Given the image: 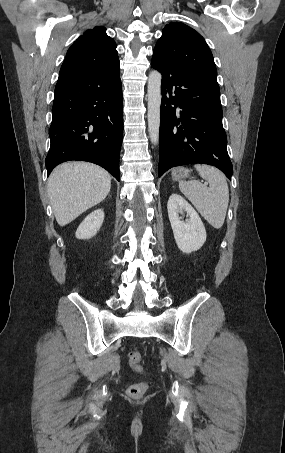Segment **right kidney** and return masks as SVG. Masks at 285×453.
I'll return each instance as SVG.
<instances>
[{"instance_id": "right-kidney-1", "label": "right kidney", "mask_w": 285, "mask_h": 453, "mask_svg": "<svg viewBox=\"0 0 285 453\" xmlns=\"http://www.w3.org/2000/svg\"><path fill=\"white\" fill-rule=\"evenodd\" d=\"M104 221V211L97 209L91 212L79 225L75 236L77 239H90L97 234Z\"/></svg>"}]
</instances>
